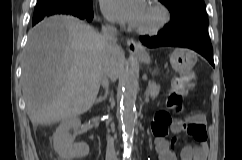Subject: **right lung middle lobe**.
Returning a JSON list of instances; mask_svg holds the SVG:
<instances>
[{
	"mask_svg": "<svg viewBox=\"0 0 242 160\" xmlns=\"http://www.w3.org/2000/svg\"><path fill=\"white\" fill-rule=\"evenodd\" d=\"M91 10H93L91 0H38L33 17L52 11L87 12Z\"/></svg>",
	"mask_w": 242,
	"mask_h": 160,
	"instance_id": "obj_1",
	"label": "right lung middle lobe"
}]
</instances>
